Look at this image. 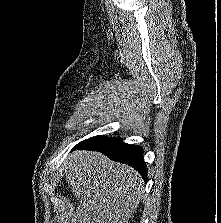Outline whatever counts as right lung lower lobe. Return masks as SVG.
I'll list each match as a JSON object with an SVG mask.
<instances>
[{"instance_id": "obj_1", "label": "right lung lower lobe", "mask_w": 221, "mask_h": 223, "mask_svg": "<svg viewBox=\"0 0 221 223\" xmlns=\"http://www.w3.org/2000/svg\"><path fill=\"white\" fill-rule=\"evenodd\" d=\"M76 148L99 151L114 161L128 164L147 181V168L143 161V149L140 146L126 144L119 138L95 136L80 142L73 150Z\"/></svg>"}]
</instances>
